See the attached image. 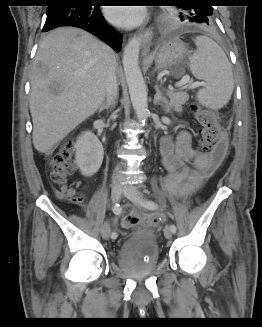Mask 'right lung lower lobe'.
<instances>
[{
	"label": "right lung lower lobe",
	"mask_w": 262,
	"mask_h": 327,
	"mask_svg": "<svg viewBox=\"0 0 262 327\" xmlns=\"http://www.w3.org/2000/svg\"><path fill=\"white\" fill-rule=\"evenodd\" d=\"M53 3L47 8L43 32L62 26L78 27L120 51L122 36L107 25L99 6L83 5L79 0H53Z\"/></svg>",
	"instance_id": "right-lung-lower-lobe-1"
}]
</instances>
